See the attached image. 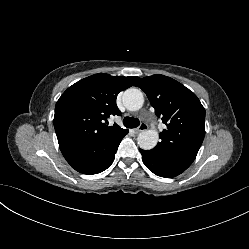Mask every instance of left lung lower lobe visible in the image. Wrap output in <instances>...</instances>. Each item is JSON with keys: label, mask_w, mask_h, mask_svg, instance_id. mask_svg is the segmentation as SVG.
<instances>
[{"label": "left lung lower lobe", "mask_w": 249, "mask_h": 249, "mask_svg": "<svg viewBox=\"0 0 249 249\" xmlns=\"http://www.w3.org/2000/svg\"><path fill=\"white\" fill-rule=\"evenodd\" d=\"M139 150L145 166L154 174L161 177H175L184 172L194 161L189 158L157 153L152 150Z\"/></svg>", "instance_id": "left-lung-lower-lobe-1"}]
</instances>
